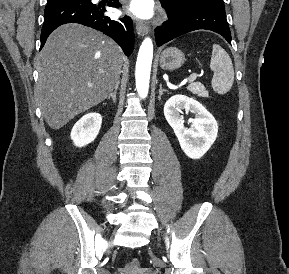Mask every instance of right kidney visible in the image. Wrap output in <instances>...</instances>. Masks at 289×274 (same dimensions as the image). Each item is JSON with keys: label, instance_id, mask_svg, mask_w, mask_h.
<instances>
[{"label": "right kidney", "instance_id": "right-kidney-1", "mask_svg": "<svg viewBox=\"0 0 289 274\" xmlns=\"http://www.w3.org/2000/svg\"><path fill=\"white\" fill-rule=\"evenodd\" d=\"M102 124V116L91 112L80 118L72 128L71 139L77 147H84L94 141Z\"/></svg>", "mask_w": 289, "mask_h": 274}]
</instances>
